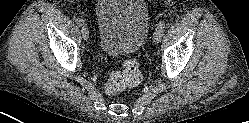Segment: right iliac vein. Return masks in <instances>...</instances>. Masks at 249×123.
<instances>
[{"label":"right iliac vein","mask_w":249,"mask_h":123,"mask_svg":"<svg viewBox=\"0 0 249 123\" xmlns=\"http://www.w3.org/2000/svg\"><path fill=\"white\" fill-rule=\"evenodd\" d=\"M81 32H82V37L84 40H88L89 38V30L86 26H83L82 29H81Z\"/></svg>","instance_id":"1"}]
</instances>
